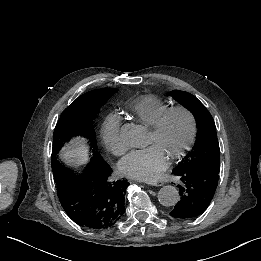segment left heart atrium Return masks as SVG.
I'll list each match as a JSON object with an SVG mask.
<instances>
[{
  "instance_id": "left-heart-atrium-1",
  "label": "left heart atrium",
  "mask_w": 261,
  "mask_h": 261,
  "mask_svg": "<svg viewBox=\"0 0 261 261\" xmlns=\"http://www.w3.org/2000/svg\"><path fill=\"white\" fill-rule=\"evenodd\" d=\"M167 158L155 144L132 149L119 164L120 171L128 177L152 181L165 171Z\"/></svg>"
}]
</instances>
